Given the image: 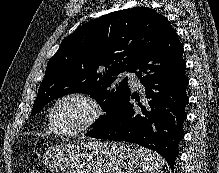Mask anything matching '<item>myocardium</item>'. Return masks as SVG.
Listing matches in <instances>:
<instances>
[{"mask_svg":"<svg viewBox=\"0 0 219 173\" xmlns=\"http://www.w3.org/2000/svg\"><path fill=\"white\" fill-rule=\"evenodd\" d=\"M76 99L83 102L89 110V113L85 120L77 128L70 131H61L57 128L54 121V112L56 107L65 100ZM104 115V108L100 101L91 94L83 91H71L67 92L58 98H56L50 106L48 113V122L51 131L60 137H74L88 132L94 128Z\"/></svg>","mask_w":219,"mask_h":173,"instance_id":"1","label":"myocardium"}]
</instances>
